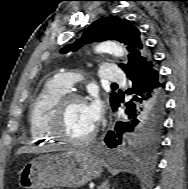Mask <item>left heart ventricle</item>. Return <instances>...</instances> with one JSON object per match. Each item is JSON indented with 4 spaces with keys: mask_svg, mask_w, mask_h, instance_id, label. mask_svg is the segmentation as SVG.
I'll list each match as a JSON object with an SVG mask.
<instances>
[{
    "mask_svg": "<svg viewBox=\"0 0 188 189\" xmlns=\"http://www.w3.org/2000/svg\"><path fill=\"white\" fill-rule=\"evenodd\" d=\"M95 125L87 113L86 102H72L65 112L63 119V131L75 138L87 135Z\"/></svg>",
    "mask_w": 188,
    "mask_h": 189,
    "instance_id": "obj_1",
    "label": "left heart ventricle"
}]
</instances>
